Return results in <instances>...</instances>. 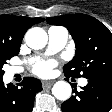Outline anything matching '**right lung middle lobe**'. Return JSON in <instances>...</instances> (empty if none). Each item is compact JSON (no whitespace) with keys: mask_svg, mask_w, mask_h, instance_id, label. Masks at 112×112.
I'll return each mask as SVG.
<instances>
[{"mask_svg":"<svg viewBox=\"0 0 112 112\" xmlns=\"http://www.w3.org/2000/svg\"><path fill=\"white\" fill-rule=\"evenodd\" d=\"M20 44L6 45L0 43V80L4 75L3 65L19 53Z\"/></svg>","mask_w":112,"mask_h":112,"instance_id":"right-lung-middle-lobe-1","label":"right lung middle lobe"}]
</instances>
